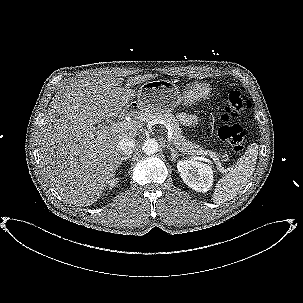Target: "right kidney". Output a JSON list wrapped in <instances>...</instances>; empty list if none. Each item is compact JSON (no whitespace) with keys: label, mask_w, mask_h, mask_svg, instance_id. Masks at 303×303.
<instances>
[{"label":"right kidney","mask_w":303,"mask_h":303,"mask_svg":"<svg viewBox=\"0 0 303 303\" xmlns=\"http://www.w3.org/2000/svg\"><path fill=\"white\" fill-rule=\"evenodd\" d=\"M109 183H110L109 185H110V188H111V187H114L116 185L117 181L115 179H113Z\"/></svg>","instance_id":"obj_1"}]
</instances>
